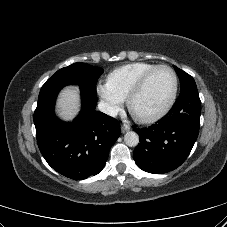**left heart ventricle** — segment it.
<instances>
[{"label": "left heart ventricle", "mask_w": 227, "mask_h": 227, "mask_svg": "<svg viewBox=\"0 0 227 227\" xmlns=\"http://www.w3.org/2000/svg\"><path fill=\"white\" fill-rule=\"evenodd\" d=\"M174 79L168 69L156 71L133 102V111L138 116H151L168 102Z\"/></svg>", "instance_id": "b2bd125f"}]
</instances>
